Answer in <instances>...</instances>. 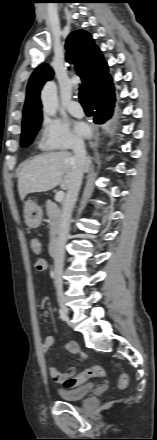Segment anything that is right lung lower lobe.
<instances>
[{"instance_id": "right-lung-lower-lobe-1", "label": "right lung lower lobe", "mask_w": 157, "mask_h": 440, "mask_svg": "<svg viewBox=\"0 0 157 440\" xmlns=\"http://www.w3.org/2000/svg\"><path fill=\"white\" fill-rule=\"evenodd\" d=\"M114 102H115L114 92L97 102H93L95 109V116H94L95 123L102 124L112 116Z\"/></svg>"}]
</instances>
